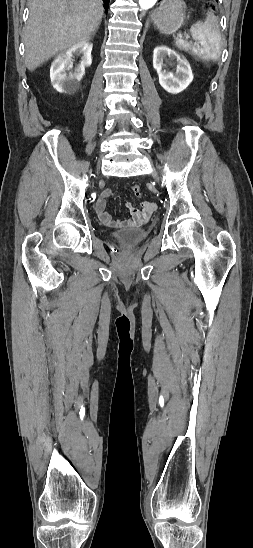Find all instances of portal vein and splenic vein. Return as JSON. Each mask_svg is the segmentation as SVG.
Returning <instances> with one entry per match:
<instances>
[{
	"instance_id": "1",
	"label": "portal vein and splenic vein",
	"mask_w": 253,
	"mask_h": 548,
	"mask_svg": "<svg viewBox=\"0 0 253 548\" xmlns=\"http://www.w3.org/2000/svg\"><path fill=\"white\" fill-rule=\"evenodd\" d=\"M185 37H186V39H188V38H189V36H188V35H186Z\"/></svg>"
}]
</instances>
